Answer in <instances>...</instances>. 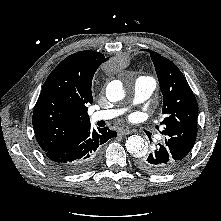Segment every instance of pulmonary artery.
<instances>
[{
  "label": "pulmonary artery",
  "instance_id": "pulmonary-artery-1",
  "mask_svg": "<svg viewBox=\"0 0 221 221\" xmlns=\"http://www.w3.org/2000/svg\"><path fill=\"white\" fill-rule=\"evenodd\" d=\"M156 87V82L151 77L140 76L134 84L133 103L139 104L146 101L153 93ZM125 112V109H109L101 110L92 113L90 120L97 122L100 120H109L115 118Z\"/></svg>",
  "mask_w": 221,
  "mask_h": 221
}]
</instances>
